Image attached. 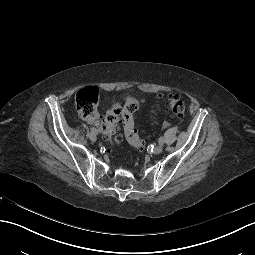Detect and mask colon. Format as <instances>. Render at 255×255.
I'll return each instance as SVG.
<instances>
[{
	"label": "colon",
	"mask_w": 255,
	"mask_h": 255,
	"mask_svg": "<svg viewBox=\"0 0 255 255\" xmlns=\"http://www.w3.org/2000/svg\"><path fill=\"white\" fill-rule=\"evenodd\" d=\"M164 101L168 111L175 118H181L184 115L185 105L180 96L169 95ZM140 103L141 101L138 98L128 97L123 107H120L117 103H113L110 106L100 124L102 135L106 142L111 144L120 142L117 129L119 124H122L127 141L137 150H143L144 143L139 137L134 122V115ZM75 104L82 118L90 121L96 120L98 116V90L94 87L79 90L76 94Z\"/></svg>",
	"instance_id": "5ec220e1"
}]
</instances>
